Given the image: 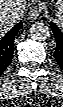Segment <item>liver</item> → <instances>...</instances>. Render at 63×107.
<instances>
[{"instance_id":"6515ba94","label":"liver","mask_w":63,"mask_h":107,"mask_svg":"<svg viewBox=\"0 0 63 107\" xmlns=\"http://www.w3.org/2000/svg\"><path fill=\"white\" fill-rule=\"evenodd\" d=\"M15 9L21 10L24 15L26 9V1L0 0V36L1 37H3L14 25L10 22L9 17Z\"/></svg>"}]
</instances>
